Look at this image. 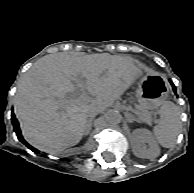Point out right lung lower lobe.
<instances>
[{
  "mask_svg": "<svg viewBox=\"0 0 194 193\" xmlns=\"http://www.w3.org/2000/svg\"><path fill=\"white\" fill-rule=\"evenodd\" d=\"M12 123H13V126H14V130L18 136V139L24 143L30 150H32L33 152L37 153L39 152L37 149L33 148L32 146H30L22 137L21 135V131H20V128H19V124H18V121L17 119L15 118V115H14V112L12 111Z\"/></svg>",
  "mask_w": 194,
  "mask_h": 193,
  "instance_id": "98d812e1",
  "label": "right lung lower lobe"
}]
</instances>
